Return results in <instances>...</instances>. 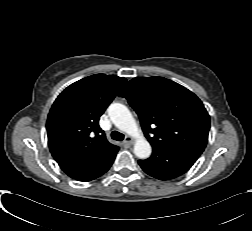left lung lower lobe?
Returning <instances> with one entry per match:
<instances>
[{"mask_svg": "<svg viewBox=\"0 0 252 231\" xmlns=\"http://www.w3.org/2000/svg\"><path fill=\"white\" fill-rule=\"evenodd\" d=\"M200 155L188 148L153 146L152 156L138 163L150 176L168 180L187 172Z\"/></svg>", "mask_w": 252, "mask_h": 231, "instance_id": "1", "label": "left lung lower lobe"}]
</instances>
